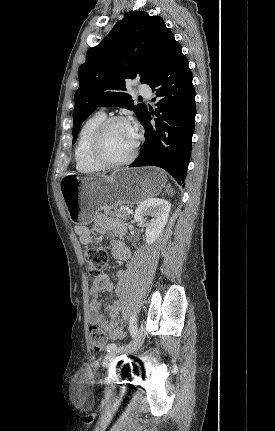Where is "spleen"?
I'll return each mask as SVG.
<instances>
[{
  "mask_svg": "<svg viewBox=\"0 0 275 431\" xmlns=\"http://www.w3.org/2000/svg\"><path fill=\"white\" fill-rule=\"evenodd\" d=\"M170 187H171V186H170V185H168V186L166 187V191H167L168 193L173 194V190H172V189L169 191Z\"/></svg>",
  "mask_w": 275,
  "mask_h": 431,
  "instance_id": "3e777b00",
  "label": "spleen"
}]
</instances>
